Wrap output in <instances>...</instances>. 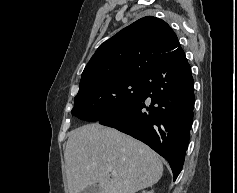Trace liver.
Returning <instances> with one entry per match:
<instances>
[{"instance_id": "obj_1", "label": "liver", "mask_w": 237, "mask_h": 193, "mask_svg": "<svg viewBox=\"0 0 237 193\" xmlns=\"http://www.w3.org/2000/svg\"><path fill=\"white\" fill-rule=\"evenodd\" d=\"M69 193L98 184L101 193H136L163 174L158 155L114 128L87 124L73 130L64 154ZM108 168L116 171L112 175Z\"/></svg>"}]
</instances>
